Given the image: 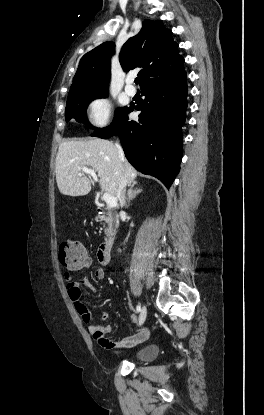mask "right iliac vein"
<instances>
[{"label":"right iliac vein","mask_w":264,"mask_h":415,"mask_svg":"<svg viewBox=\"0 0 264 415\" xmlns=\"http://www.w3.org/2000/svg\"><path fill=\"white\" fill-rule=\"evenodd\" d=\"M146 316H147V309L145 306H143L140 316H139V322H138L139 326H141L145 322Z\"/></svg>","instance_id":"right-iliac-vein-1"}]
</instances>
